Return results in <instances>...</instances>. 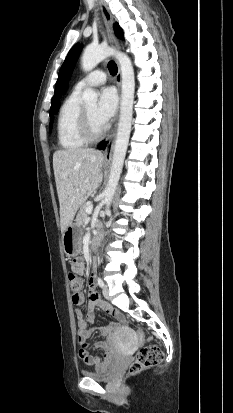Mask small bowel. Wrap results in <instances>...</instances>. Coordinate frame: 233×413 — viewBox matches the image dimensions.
Wrapping results in <instances>:
<instances>
[{"label":"small bowel","mask_w":233,"mask_h":413,"mask_svg":"<svg viewBox=\"0 0 233 413\" xmlns=\"http://www.w3.org/2000/svg\"><path fill=\"white\" fill-rule=\"evenodd\" d=\"M83 261L84 258L82 255H75L71 257L72 264L70 266V271L76 276H83L85 274V266ZM88 295L89 301L87 303V316H85L79 309L75 312L78 325V343L80 345L79 356L86 365L93 366L97 369H103L107 367L118 354V348L116 346V333L121 328L123 316L118 310L100 298L95 290L93 280L90 282ZM72 302L76 306L82 305L84 303L83 293L78 292L73 294ZM96 309H101L118 320L116 323L99 328L100 334L105 336L106 340L96 342L94 347L105 351L103 360L93 356L87 348V340L94 333V329L89 326L94 322Z\"/></svg>","instance_id":"1"}]
</instances>
